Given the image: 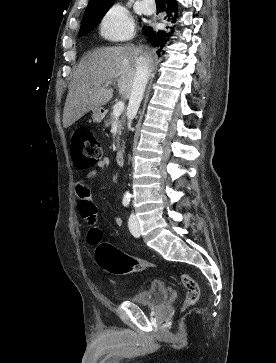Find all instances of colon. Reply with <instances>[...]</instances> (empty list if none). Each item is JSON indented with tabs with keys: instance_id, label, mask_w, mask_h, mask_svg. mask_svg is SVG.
Instances as JSON below:
<instances>
[{
	"instance_id": "obj_1",
	"label": "colon",
	"mask_w": 276,
	"mask_h": 363,
	"mask_svg": "<svg viewBox=\"0 0 276 363\" xmlns=\"http://www.w3.org/2000/svg\"><path fill=\"white\" fill-rule=\"evenodd\" d=\"M71 153L78 168L84 169L97 164L102 158L101 145L93 134L86 128L74 132L71 143ZM88 242L96 246L95 260L107 272L114 275L126 274L137 267H149L150 264L133 258L118 250L112 244L102 241V232L99 228H91ZM184 289V308L195 304L199 298V286L188 274L180 276Z\"/></svg>"
}]
</instances>
